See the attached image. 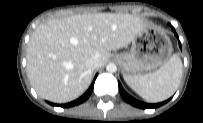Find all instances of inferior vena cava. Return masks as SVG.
<instances>
[{
    "label": "inferior vena cava",
    "instance_id": "1",
    "mask_svg": "<svg viewBox=\"0 0 203 123\" xmlns=\"http://www.w3.org/2000/svg\"><path fill=\"white\" fill-rule=\"evenodd\" d=\"M86 66L91 70H94L99 67V60L96 57H91L86 60Z\"/></svg>",
    "mask_w": 203,
    "mask_h": 123
}]
</instances>
